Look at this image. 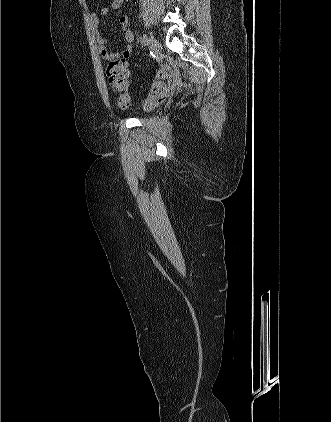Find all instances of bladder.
I'll return each mask as SVG.
<instances>
[{
    "label": "bladder",
    "mask_w": 331,
    "mask_h": 422,
    "mask_svg": "<svg viewBox=\"0 0 331 422\" xmlns=\"http://www.w3.org/2000/svg\"><path fill=\"white\" fill-rule=\"evenodd\" d=\"M151 110H153V107L148 109V111H151Z\"/></svg>",
    "instance_id": "bladder-1"
}]
</instances>
